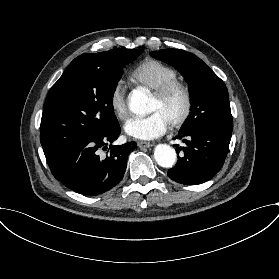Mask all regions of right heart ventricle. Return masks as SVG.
Returning <instances> with one entry per match:
<instances>
[{"label":"right heart ventricle","mask_w":279,"mask_h":279,"mask_svg":"<svg viewBox=\"0 0 279 279\" xmlns=\"http://www.w3.org/2000/svg\"><path fill=\"white\" fill-rule=\"evenodd\" d=\"M132 74L138 82L153 91L179 77L175 68L156 59L142 61L136 66Z\"/></svg>","instance_id":"obj_1"}]
</instances>
